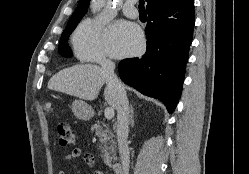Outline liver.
<instances>
[{
    "instance_id": "1",
    "label": "liver",
    "mask_w": 249,
    "mask_h": 174,
    "mask_svg": "<svg viewBox=\"0 0 249 174\" xmlns=\"http://www.w3.org/2000/svg\"><path fill=\"white\" fill-rule=\"evenodd\" d=\"M104 84H106L105 100L113 109H116V90L109 76L95 64H79L59 71L49 80L48 89L92 101L98 97Z\"/></svg>"
}]
</instances>
